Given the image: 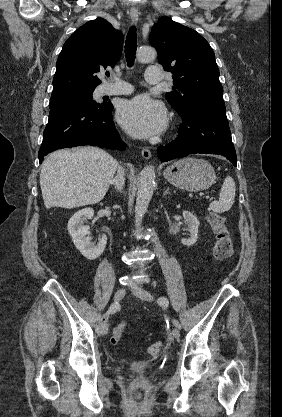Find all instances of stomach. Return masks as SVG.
Segmentation results:
<instances>
[{
    "label": "stomach",
    "instance_id": "stomach-1",
    "mask_svg": "<svg viewBox=\"0 0 282 417\" xmlns=\"http://www.w3.org/2000/svg\"><path fill=\"white\" fill-rule=\"evenodd\" d=\"M164 176L174 186L189 190V192L205 190L216 182V174L212 164L204 158H193V156L172 162L170 166L165 168Z\"/></svg>",
    "mask_w": 282,
    "mask_h": 417
}]
</instances>
